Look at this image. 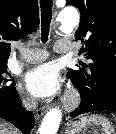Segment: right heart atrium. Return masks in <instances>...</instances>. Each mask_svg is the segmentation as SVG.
Segmentation results:
<instances>
[{
	"mask_svg": "<svg viewBox=\"0 0 116 134\" xmlns=\"http://www.w3.org/2000/svg\"><path fill=\"white\" fill-rule=\"evenodd\" d=\"M18 95L19 98L21 100V103L23 104V106H25L26 108H33L34 107V100L31 99L30 97L26 96L21 89H18Z\"/></svg>",
	"mask_w": 116,
	"mask_h": 134,
	"instance_id": "1",
	"label": "right heart atrium"
}]
</instances>
